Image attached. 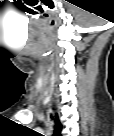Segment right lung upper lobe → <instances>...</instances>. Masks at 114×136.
I'll return each mask as SVG.
<instances>
[{"label":"right lung upper lobe","instance_id":"1","mask_svg":"<svg viewBox=\"0 0 114 136\" xmlns=\"http://www.w3.org/2000/svg\"><path fill=\"white\" fill-rule=\"evenodd\" d=\"M61 129H62V126L59 122L58 115H56L54 135L60 136Z\"/></svg>","mask_w":114,"mask_h":136}]
</instances>
